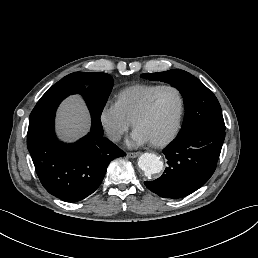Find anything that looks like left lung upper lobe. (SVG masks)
I'll return each instance as SVG.
<instances>
[{"mask_svg":"<svg viewBox=\"0 0 258 258\" xmlns=\"http://www.w3.org/2000/svg\"><path fill=\"white\" fill-rule=\"evenodd\" d=\"M141 77L170 83L184 99L185 118L176 138L185 137L204 127L225 129L220 104L215 95L196 77L183 70L142 74Z\"/></svg>","mask_w":258,"mask_h":258,"instance_id":"5c2ea615","label":"left lung upper lobe"}]
</instances>
